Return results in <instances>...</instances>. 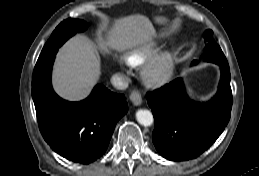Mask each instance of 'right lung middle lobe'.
Here are the masks:
<instances>
[{
	"instance_id": "1",
	"label": "right lung middle lobe",
	"mask_w": 259,
	"mask_h": 176,
	"mask_svg": "<svg viewBox=\"0 0 259 176\" xmlns=\"http://www.w3.org/2000/svg\"><path fill=\"white\" fill-rule=\"evenodd\" d=\"M87 26L88 24L80 19L64 20L56 27L44 48L42 49L40 56L58 49L68 38L77 32L84 31Z\"/></svg>"
}]
</instances>
